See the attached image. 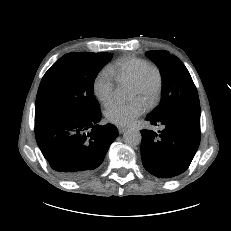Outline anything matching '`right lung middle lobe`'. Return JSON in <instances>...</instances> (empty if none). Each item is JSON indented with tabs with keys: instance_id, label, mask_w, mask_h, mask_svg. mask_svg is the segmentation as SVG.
<instances>
[{
	"instance_id": "obj_1",
	"label": "right lung middle lobe",
	"mask_w": 231,
	"mask_h": 231,
	"mask_svg": "<svg viewBox=\"0 0 231 231\" xmlns=\"http://www.w3.org/2000/svg\"><path fill=\"white\" fill-rule=\"evenodd\" d=\"M111 53H68L43 76L36 97V110L48 109L91 116L100 111L93 84Z\"/></svg>"
}]
</instances>
